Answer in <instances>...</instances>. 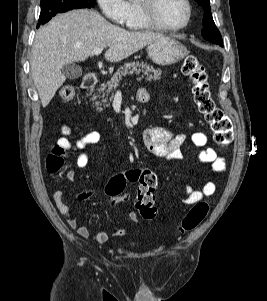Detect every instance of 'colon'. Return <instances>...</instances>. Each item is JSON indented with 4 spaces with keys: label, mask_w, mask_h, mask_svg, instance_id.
<instances>
[{
    "label": "colon",
    "mask_w": 267,
    "mask_h": 301,
    "mask_svg": "<svg viewBox=\"0 0 267 301\" xmlns=\"http://www.w3.org/2000/svg\"><path fill=\"white\" fill-rule=\"evenodd\" d=\"M182 72L193 82L194 101L199 112L210 125L215 143L220 147L228 146L233 140V128L230 119L215 104L209 89L207 74L204 66L195 56H187L182 66ZM76 90L73 85H64L60 97L65 101L75 98ZM64 164V149L56 146L46 158V168L51 174H57ZM138 184L135 207L140 215L148 220L156 216L154 191L157 187V177L147 168H129L113 175L104 185L103 192L112 202L123 195L128 186ZM209 206L206 202L195 204L185 215L179 225L182 233L195 229L207 216Z\"/></svg>",
    "instance_id": "1"
}]
</instances>
